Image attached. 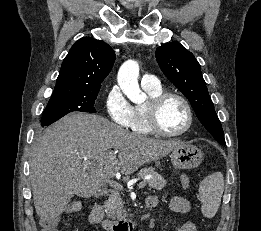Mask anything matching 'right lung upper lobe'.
<instances>
[{
	"label": "right lung upper lobe",
	"mask_w": 261,
	"mask_h": 231,
	"mask_svg": "<svg viewBox=\"0 0 261 231\" xmlns=\"http://www.w3.org/2000/svg\"><path fill=\"white\" fill-rule=\"evenodd\" d=\"M114 60L115 53L108 44L81 38L64 58L54 90H99Z\"/></svg>",
	"instance_id": "obj_1"
}]
</instances>
